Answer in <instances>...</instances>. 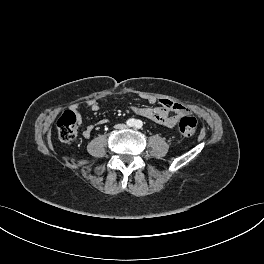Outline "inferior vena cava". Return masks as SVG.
<instances>
[{"label": "inferior vena cava", "mask_w": 264, "mask_h": 264, "mask_svg": "<svg viewBox=\"0 0 264 264\" xmlns=\"http://www.w3.org/2000/svg\"><path fill=\"white\" fill-rule=\"evenodd\" d=\"M118 127H119L120 129H124V128H126V125H124V124H120Z\"/></svg>", "instance_id": "obj_1"}]
</instances>
